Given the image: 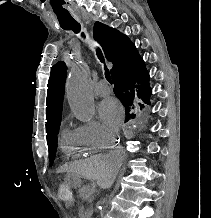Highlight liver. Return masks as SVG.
<instances>
[{"label":"liver","instance_id":"1","mask_svg":"<svg viewBox=\"0 0 211 218\" xmlns=\"http://www.w3.org/2000/svg\"><path fill=\"white\" fill-rule=\"evenodd\" d=\"M118 160L119 158H109V156H104V154L91 156V158L83 160L82 174L85 178L96 180L99 186H103L114 170H118L119 164H115V166L113 164V162H118Z\"/></svg>","mask_w":211,"mask_h":218}]
</instances>
